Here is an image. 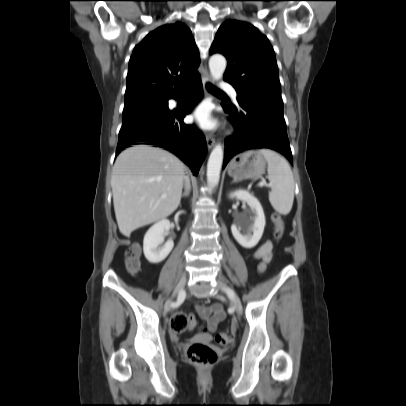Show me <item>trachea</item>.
<instances>
[{
    "label": "trachea",
    "instance_id": "1",
    "mask_svg": "<svg viewBox=\"0 0 406 406\" xmlns=\"http://www.w3.org/2000/svg\"><path fill=\"white\" fill-rule=\"evenodd\" d=\"M206 88L208 91L212 92V93H219V94H223L224 92H222L221 90H219L217 87L213 86L211 83H207L206 84ZM183 91H189V89H184Z\"/></svg>",
    "mask_w": 406,
    "mask_h": 406
}]
</instances>
